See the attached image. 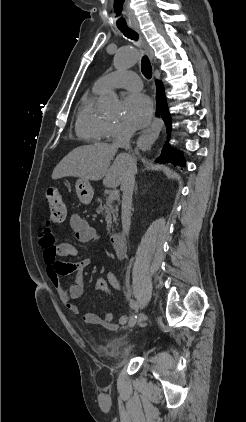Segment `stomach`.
<instances>
[{
    "instance_id": "obj_1",
    "label": "stomach",
    "mask_w": 246,
    "mask_h": 422,
    "mask_svg": "<svg viewBox=\"0 0 246 422\" xmlns=\"http://www.w3.org/2000/svg\"><path fill=\"white\" fill-rule=\"evenodd\" d=\"M76 194L83 204H89L94 196L93 188L88 180L78 179L75 184Z\"/></svg>"
}]
</instances>
